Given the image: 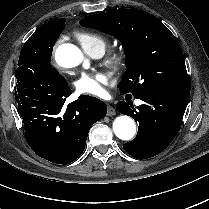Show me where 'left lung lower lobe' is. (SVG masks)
I'll return each instance as SVG.
<instances>
[{
    "mask_svg": "<svg viewBox=\"0 0 209 209\" xmlns=\"http://www.w3.org/2000/svg\"><path fill=\"white\" fill-rule=\"evenodd\" d=\"M189 95L162 89L148 90L136 96L145 102L137 110L125 101L118 102L117 111L139 123L137 136L123 145L124 150L137 159H147L162 152L180 128Z\"/></svg>",
    "mask_w": 209,
    "mask_h": 209,
    "instance_id": "obj_1",
    "label": "left lung lower lobe"
}]
</instances>
